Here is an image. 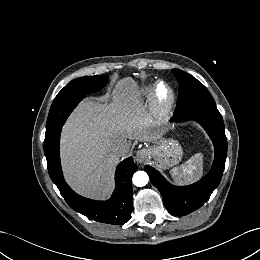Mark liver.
Here are the masks:
<instances>
[{"mask_svg":"<svg viewBox=\"0 0 260 260\" xmlns=\"http://www.w3.org/2000/svg\"><path fill=\"white\" fill-rule=\"evenodd\" d=\"M158 134L136 103L82 102L65 126L62 159L66 178L79 193L105 198L113 188L119 157L112 148L130 140L153 141Z\"/></svg>","mask_w":260,"mask_h":260,"instance_id":"liver-1","label":"liver"}]
</instances>
